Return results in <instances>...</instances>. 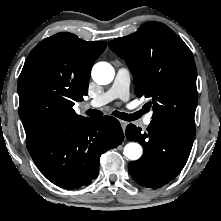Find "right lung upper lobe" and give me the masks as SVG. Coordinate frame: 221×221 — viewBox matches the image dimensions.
Segmentation results:
<instances>
[{"label":"right lung upper lobe","mask_w":221,"mask_h":221,"mask_svg":"<svg viewBox=\"0 0 221 221\" xmlns=\"http://www.w3.org/2000/svg\"><path fill=\"white\" fill-rule=\"evenodd\" d=\"M106 46L62 32L30 52L18 80L28 150L57 128L85 119L72 107L88 94L91 68Z\"/></svg>","instance_id":"cb5924a9"}]
</instances>
